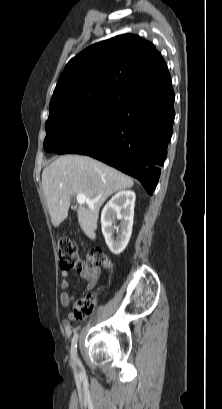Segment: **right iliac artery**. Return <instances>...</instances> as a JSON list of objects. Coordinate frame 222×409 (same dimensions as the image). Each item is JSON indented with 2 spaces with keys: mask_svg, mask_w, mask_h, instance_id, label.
Instances as JSON below:
<instances>
[{
  "mask_svg": "<svg viewBox=\"0 0 222 409\" xmlns=\"http://www.w3.org/2000/svg\"><path fill=\"white\" fill-rule=\"evenodd\" d=\"M77 341H78V334L75 333L72 338V342H71V361L73 364L78 362Z\"/></svg>",
  "mask_w": 222,
  "mask_h": 409,
  "instance_id": "right-iliac-artery-1",
  "label": "right iliac artery"
}]
</instances>
